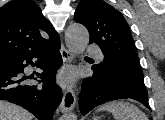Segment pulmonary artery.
Wrapping results in <instances>:
<instances>
[{"mask_svg":"<svg viewBox=\"0 0 165 120\" xmlns=\"http://www.w3.org/2000/svg\"><path fill=\"white\" fill-rule=\"evenodd\" d=\"M86 52L98 57H101V51L98 47L94 46V45H88L86 46Z\"/></svg>","mask_w":165,"mask_h":120,"instance_id":"e3ab8cb5","label":"pulmonary artery"}]
</instances>
